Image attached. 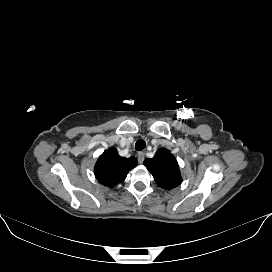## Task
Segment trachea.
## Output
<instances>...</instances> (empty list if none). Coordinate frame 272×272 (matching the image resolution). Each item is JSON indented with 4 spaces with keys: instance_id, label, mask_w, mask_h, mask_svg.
I'll list each match as a JSON object with an SVG mask.
<instances>
[{
    "instance_id": "1",
    "label": "trachea",
    "mask_w": 272,
    "mask_h": 272,
    "mask_svg": "<svg viewBox=\"0 0 272 272\" xmlns=\"http://www.w3.org/2000/svg\"><path fill=\"white\" fill-rule=\"evenodd\" d=\"M146 147V142L142 139L138 140L135 144V148L138 151L143 150Z\"/></svg>"
}]
</instances>
